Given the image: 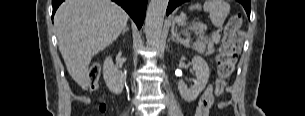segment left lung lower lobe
Listing matches in <instances>:
<instances>
[{"label":"left lung lower lobe","instance_id":"obj_1","mask_svg":"<svg viewBox=\"0 0 305 116\" xmlns=\"http://www.w3.org/2000/svg\"><path fill=\"white\" fill-rule=\"evenodd\" d=\"M188 0H170L167 8V15L171 13L177 6L181 5L184 2H187ZM245 8L247 15L250 16V9H251V2L250 0H240L239 1Z\"/></svg>","mask_w":305,"mask_h":116}]
</instances>
